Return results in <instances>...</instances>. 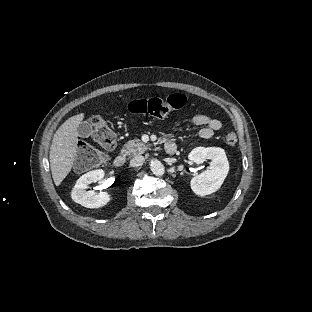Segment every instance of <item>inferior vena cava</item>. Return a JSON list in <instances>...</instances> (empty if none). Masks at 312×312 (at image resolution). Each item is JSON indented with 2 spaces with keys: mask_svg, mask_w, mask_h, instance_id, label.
I'll return each instance as SVG.
<instances>
[{
  "mask_svg": "<svg viewBox=\"0 0 312 312\" xmlns=\"http://www.w3.org/2000/svg\"><path fill=\"white\" fill-rule=\"evenodd\" d=\"M144 161H145V159L143 156L137 155L133 159L130 160V166H132V167L142 166Z\"/></svg>",
  "mask_w": 312,
  "mask_h": 312,
  "instance_id": "inferior-vena-cava-1",
  "label": "inferior vena cava"
}]
</instances>
